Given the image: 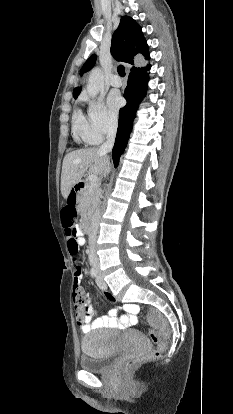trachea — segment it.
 Listing matches in <instances>:
<instances>
[{"label":"trachea","instance_id":"trachea-1","mask_svg":"<svg viewBox=\"0 0 233 414\" xmlns=\"http://www.w3.org/2000/svg\"><path fill=\"white\" fill-rule=\"evenodd\" d=\"M117 71L121 77L125 76V68L123 65H119Z\"/></svg>","mask_w":233,"mask_h":414}]
</instances>
